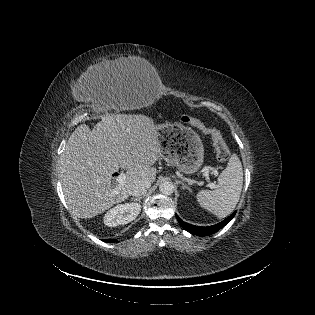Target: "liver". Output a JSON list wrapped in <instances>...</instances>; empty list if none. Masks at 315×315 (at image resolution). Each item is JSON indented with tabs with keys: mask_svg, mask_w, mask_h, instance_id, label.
Instances as JSON below:
<instances>
[{
	"mask_svg": "<svg viewBox=\"0 0 315 315\" xmlns=\"http://www.w3.org/2000/svg\"><path fill=\"white\" fill-rule=\"evenodd\" d=\"M159 157L155 124L146 115L110 114L93 130L79 125L60 158V180L69 209L86 219L124 201L135 184L155 181L153 165ZM119 168L126 170V180L119 194L112 195L113 174Z\"/></svg>",
	"mask_w": 315,
	"mask_h": 315,
	"instance_id": "liver-1",
	"label": "liver"
}]
</instances>
